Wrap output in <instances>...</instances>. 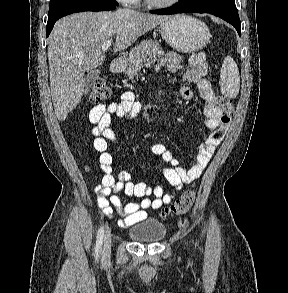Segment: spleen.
I'll list each match as a JSON object with an SVG mask.
<instances>
[{
  "mask_svg": "<svg viewBox=\"0 0 288 293\" xmlns=\"http://www.w3.org/2000/svg\"><path fill=\"white\" fill-rule=\"evenodd\" d=\"M220 78L222 94L230 99L237 97L240 89V76L237 64L231 56L225 57Z\"/></svg>",
  "mask_w": 288,
  "mask_h": 293,
  "instance_id": "spleen-1",
  "label": "spleen"
}]
</instances>
